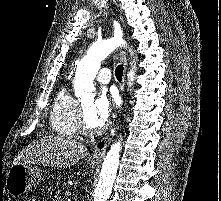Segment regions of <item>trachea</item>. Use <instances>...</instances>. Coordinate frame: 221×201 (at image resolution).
Masks as SVG:
<instances>
[{
    "label": "trachea",
    "instance_id": "trachea-1",
    "mask_svg": "<svg viewBox=\"0 0 221 201\" xmlns=\"http://www.w3.org/2000/svg\"><path fill=\"white\" fill-rule=\"evenodd\" d=\"M115 75L118 81L122 80V75H123V65H118L115 69Z\"/></svg>",
    "mask_w": 221,
    "mask_h": 201
}]
</instances>
